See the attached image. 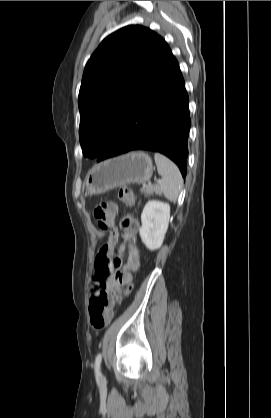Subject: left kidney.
<instances>
[{"mask_svg":"<svg viewBox=\"0 0 271 418\" xmlns=\"http://www.w3.org/2000/svg\"><path fill=\"white\" fill-rule=\"evenodd\" d=\"M170 205L157 200L148 201L142 211L140 237L149 250L162 246L168 229Z\"/></svg>","mask_w":271,"mask_h":418,"instance_id":"1","label":"left kidney"}]
</instances>
